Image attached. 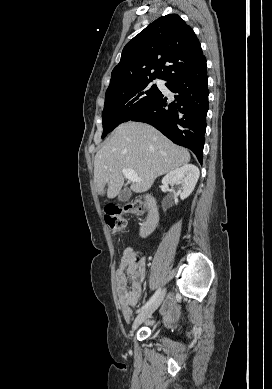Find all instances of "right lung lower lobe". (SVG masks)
I'll return each mask as SVG.
<instances>
[{
	"label": "right lung lower lobe",
	"mask_w": 272,
	"mask_h": 389,
	"mask_svg": "<svg viewBox=\"0 0 272 389\" xmlns=\"http://www.w3.org/2000/svg\"><path fill=\"white\" fill-rule=\"evenodd\" d=\"M166 81L176 94L174 101L160 92L130 120L151 124L174 143L192 150L202 163L209 95L205 56Z\"/></svg>",
	"instance_id": "obj_1"
}]
</instances>
